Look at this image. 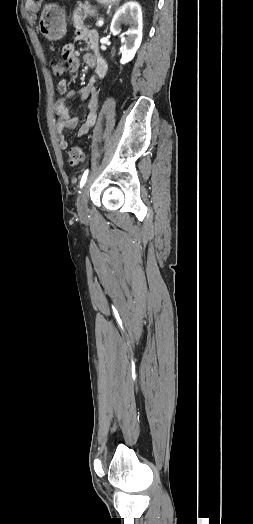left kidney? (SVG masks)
<instances>
[{
    "label": "left kidney",
    "instance_id": "1",
    "mask_svg": "<svg viewBox=\"0 0 253 524\" xmlns=\"http://www.w3.org/2000/svg\"><path fill=\"white\" fill-rule=\"evenodd\" d=\"M130 24V29L122 34L123 52L120 62L122 64L131 61L142 42V11L138 2L130 1L122 5L115 13L110 31L113 35H118L121 25ZM126 35V37H124Z\"/></svg>",
    "mask_w": 253,
    "mask_h": 524
}]
</instances>
